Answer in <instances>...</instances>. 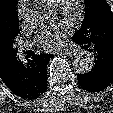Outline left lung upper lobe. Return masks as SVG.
I'll return each mask as SVG.
<instances>
[{
  "label": "left lung upper lobe",
  "instance_id": "left-lung-upper-lobe-1",
  "mask_svg": "<svg viewBox=\"0 0 113 113\" xmlns=\"http://www.w3.org/2000/svg\"><path fill=\"white\" fill-rule=\"evenodd\" d=\"M86 15L81 28L74 34L93 42L99 37H113V14L106 0H84ZM86 37V38H85Z\"/></svg>",
  "mask_w": 113,
  "mask_h": 113
}]
</instances>
